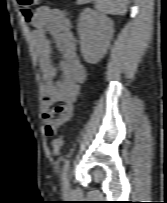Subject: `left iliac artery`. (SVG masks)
I'll return each mask as SVG.
<instances>
[{
    "mask_svg": "<svg viewBox=\"0 0 167 203\" xmlns=\"http://www.w3.org/2000/svg\"><path fill=\"white\" fill-rule=\"evenodd\" d=\"M69 164H70V160H66L65 163H64V166H63V170H62V180L65 179L66 177V174L68 172V169H69Z\"/></svg>",
    "mask_w": 167,
    "mask_h": 203,
    "instance_id": "obj_1",
    "label": "left iliac artery"
}]
</instances>
